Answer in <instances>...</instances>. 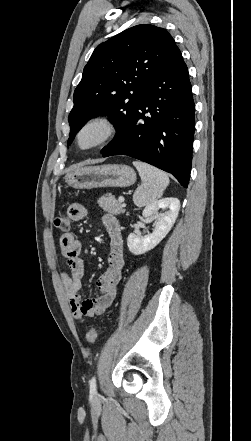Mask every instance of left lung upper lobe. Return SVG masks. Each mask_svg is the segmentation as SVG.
Returning <instances> with one entry per match:
<instances>
[{
    "instance_id": "1",
    "label": "left lung upper lobe",
    "mask_w": 251,
    "mask_h": 441,
    "mask_svg": "<svg viewBox=\"0 0 251 441\" xmlns=\"http://www.w3.org/2000/svg\"><path fill=\"white\" fill-rule=\"evenodd\" d=\"M176 47L165 29L149 24L131 27L101 43L74 91L67 144L94 116L108 115L117 131L125 126Z\"/></svg>"
}]
</instances>
